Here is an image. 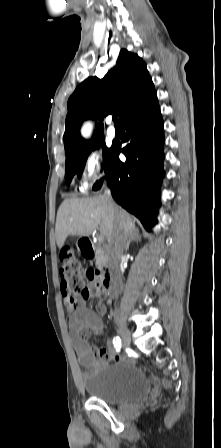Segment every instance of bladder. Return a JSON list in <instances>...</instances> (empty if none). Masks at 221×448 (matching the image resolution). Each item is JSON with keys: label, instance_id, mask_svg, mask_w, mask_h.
I'll list each match as a JSON object with an SVG mask.
<instances>
[{"label": "bladder", "instance_id": "obj_1", "mask_svg": "<svg viewBox=\"0 0 221 448\" xmlns=\"http://www.w3.org/2000/svg\"><path fill=\"white\" fill-rule=\"evenodd\" d=\"M87 394L107 404L132 402L148 396L152 386L147 375L130 365L111 364L82 378Z\"/></svg>", "mask_w": 221, "mask_h": 448}]
</instances>
